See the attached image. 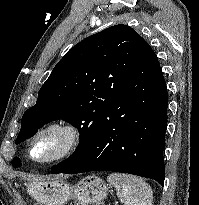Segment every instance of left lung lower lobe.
<instances>
[{
	"instance_id": "left-lung-lower-lobe-1",
	"label": "left lung lower lobe",
	"mask_w": 199,
	"mask_h": 205,
	"mask_svg": "<svg viewBox=\"0 0 199 205\" xmlns=\"http://www.w3.org/2000/svg\"><path fill=\"white\" fill-rule=\"evenodd\" d=\"M167 106L168 93L160 64L145 41L122 93L105 113L92 144L60 173L122 172L163 185Z\"/></svg>"
}]
</instances>
